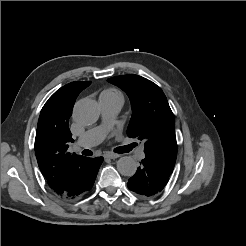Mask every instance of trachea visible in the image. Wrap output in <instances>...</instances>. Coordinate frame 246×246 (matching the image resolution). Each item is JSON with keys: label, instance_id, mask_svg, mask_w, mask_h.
Listing matches in <instances>:
<instances>
[{"label": "trachea", "instance_id": "obj_1", "mask_svg": "<svg viewBox=\"0 0 246 246\" xmlns=\"http://www.w3.org/2000/svg\"><path fill=\"white\" fill-rule=\"evenodd\" d=\"M82 154H83V155H86V156H91V155H92V152H91L90 150H87V149H86V150H83V151H82Z\"/></svg>", "mask_w": 246, "mask_h": 246}]
</instances>
